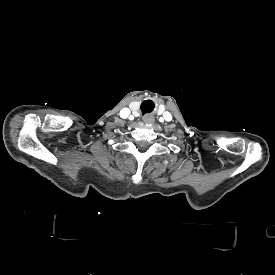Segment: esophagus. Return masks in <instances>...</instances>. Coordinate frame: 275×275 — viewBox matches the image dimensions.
<instances>
[{
	"label": "esophagus",
	"instance_id": "1",
	"mask_svg": "<svg viewBox=\"0 0 275 275\" xmlns=\"http://www.w3.org/2000/svg\"><path fill=\"white\" fill-rule=\"evenodd\" d=\"M142 120L145 124H153L155 122V118L153 115H145Z\"/></svg>",
	"mask_w": 275,
	"mask_h": 275
}]
</instances>
